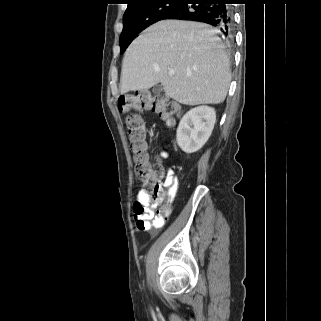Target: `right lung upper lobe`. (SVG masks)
<instances>
[{"label": "right lung upper lobe", "instance_id": "cb5924a9", "mask_svg": "<svg viewBox=\"0 0 321 321\" xmlns=\"http://www.w3.org/2000/svg\"><path fill=\"white\" fill-rule=\"evenodd\" d=\"M149 1H152V0H128V7L124 14L128 13L132 8H137Z\"/></svg>", "mask_w": 321, "mask_h": 321}]
</instances>
